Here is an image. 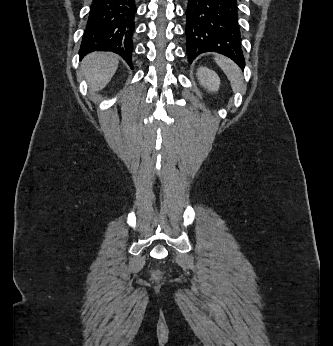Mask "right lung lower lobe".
Returning a JSON list of instances; mask_svg holds the SVG:
<instances>
[{
	"label": "right lung lower lobe",
	"mask_w": 333,
	"mask_h": 346,
	"mask_svg": "<svg viewBox=\"0 0 333 346\" xmlns=\"http://www.w3.org/2000/svg\"><path fill=\"white\" fill-rule=\"evenodd\" d=\"M136 10L135 0H92L80 58L93 51H111L132 67Z\"/></svg>",
	"instance_id": "obj_1"
}]
</instances>
